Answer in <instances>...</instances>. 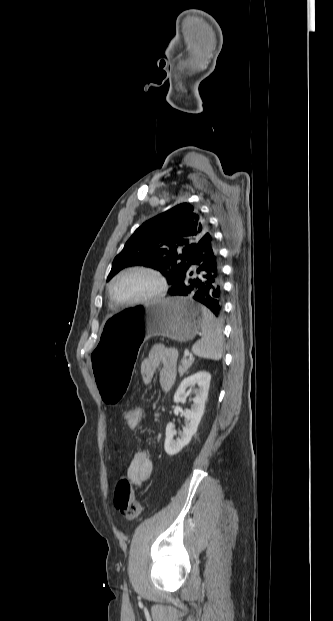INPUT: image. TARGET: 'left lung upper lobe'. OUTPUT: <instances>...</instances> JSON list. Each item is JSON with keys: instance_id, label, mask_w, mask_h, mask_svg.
<instances>
[{"instance_id": "5c2ea615", "label": "left lung upper lobe", "mask_w": 333, "mask_h": 621, "mask_svg": "<svg viewBox=\"0 0 333 621\" xmlns=\"http://www.w3.org/2000/svg\"><path fill=\"white\" fill-rule=\"evenodd\" d=\"M207 220L190 203H181L143 223L115 257L109 281L121 269L142 265L161 272L172 287L199 239Z\"/></svg>"}]
</instances>
